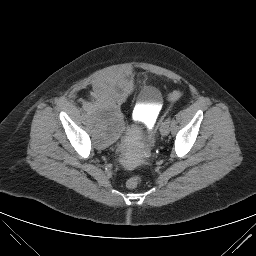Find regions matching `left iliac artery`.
Masks as SVG:
<instances>
[{"mask_svg": "<svg viewBox=\"0 0 256 256\" xmlns=\"http://www.w3.org/2000/svg\"><path fill=\"white\" fill-rule=\"evenodd\" d=\"M166 121L170 122V121H171V118H170V117H168V118L166 119Z\"/></svg>", "mask_w": 256, "mask_h": 256, "instance_id": "obj_1", "label": "left iliac artery"}]
</instances>
